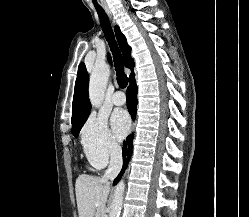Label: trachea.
<instances>
[{"mask_svg":"<svg viewBox=\"0 0 249 217\" xmlns=\"http://www.w3.org/2000/svg\"><path fill=\"white\" fill-rule=\"evenodd\" d=\"M95 8L98 13L105 38L109 43V46L111 48L114 57L115 69L117 73V82L121 88H125L128 84V78L124 73L122 56L118 48V45L116 43L110 21L102 7L95 6Z\"/></svg>","mask_w":249,"mask_h":217,"instance_id":"trachea-1","label":"trachea"}]
</instances>
